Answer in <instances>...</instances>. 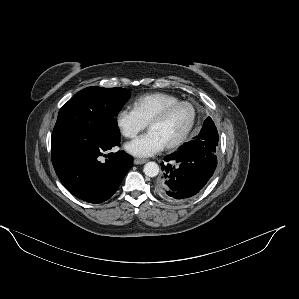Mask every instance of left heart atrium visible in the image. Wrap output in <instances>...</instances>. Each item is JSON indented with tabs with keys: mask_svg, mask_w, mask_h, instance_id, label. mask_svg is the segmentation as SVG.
Returning <instances> with one entry per match:
<instances>
[{
	"mask_svg": "<svg viewBox=\"0 0 299 299\" xmlns=\"http://www.w3.org/2000/svg\"><path fill=\"white\" fill-rule=\"evenodd\" d=\"M164 146L161 139L154 132L149 131L127 143L125 149L134 156L147 157L158 153Z\"/></svg>",
	"mask_w": 299,
	"mask_h": 299,
	"instance_id": "left-heart-atrium-1",
	"label": "left heart atrium"
}]
</instances>
